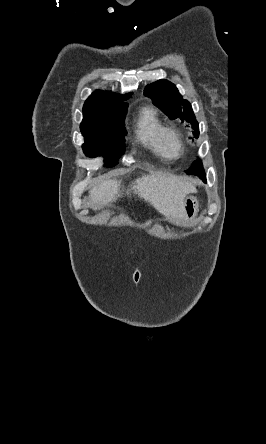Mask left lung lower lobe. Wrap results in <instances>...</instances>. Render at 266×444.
Listing matches in <instances>:
<instances>
[{
	"mask_svg": "<svg viewBox=\"0 0 266 444\" xmlns=\"http://www.w3.org/2000/svg\"><path fill=\"white\" fill-rule=\"evenodd\" d=\"M187 172V174H194V175H197V176H199L203 181H206L205 180V178H206V176H205V172H204V169H203V166H202V163H201V161H197V162H195V164H193V166L188 170V171H186Z\"/></svg>",
	"mask_w": 266,
	"mask_h": 444,
	"instance_id": "obj_1",
	"label": "left lung lower lobe"
}]
</instances>
